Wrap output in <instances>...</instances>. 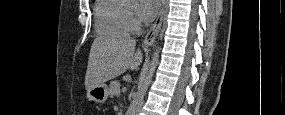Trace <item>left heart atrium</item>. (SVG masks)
Listing matches in <instances>:
<instances>
[{
    "instance_id": "1",
    "label": "left heart atrium",
    "mask_w": 285,
    "mask_h": 115,
    "mask_svg": "<svg viewBox=\"0 0 285 115\" xmlns=\"http://www.w3.org/2000/svg\"><path fill=\"white\" fill-rule=\"evenodd\" d=\"M159 0H141L140 1V14L143 20L149 21L158 11Z\"/></svg>"
}]
</instances>
